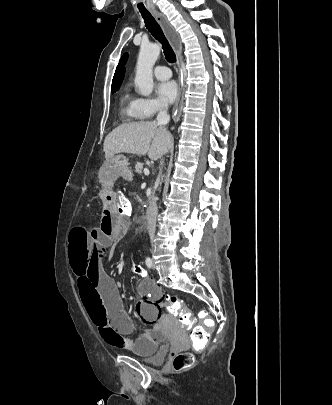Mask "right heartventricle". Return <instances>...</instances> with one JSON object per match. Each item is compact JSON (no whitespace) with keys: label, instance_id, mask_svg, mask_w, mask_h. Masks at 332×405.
Wrapping results in <instances>:
<instances>
[{"label":"right heart ventricle","instance_id":"obj_1","mask_svg":"<svg viewBox=\"0 0 332 405\" xmlns=\"http://www.w3.org/2000/svg\"><path fill=\"white\" fill-rule=\"evenodd\" d=\"M120 113L125 121L137 122L144 117L141 114L139 107V99L136 98L130 91L129 87H126L119 100Z\"/></svg>","mask_w":332,"mask_h":405}]
</instances>
